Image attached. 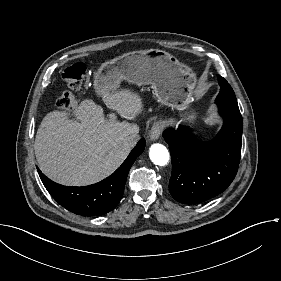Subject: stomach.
Returning a JSON list of instances; mask_svg holds the SVG:
<instances>
[{
  "label": "stomach",
  "mask_w": 281,
  "mask_h": 281,
  "mask_svg": "<svg viewBox=\"0 0 281 281\" xmlns=\"http://www.w3.org/2000/svg\"><path fill=\"white\" fill-rule=\"evenodd\" d=\"M122 81L137 86L150 85L156 100L179 111L183 126L191 128L197 124L198 112L193 107L197 74L169 52L142 49L103 62L94 72L95 95L103 98L118 94Z\"/></svg>",
  "instance_id": "obj_1"
}]
</instances>
